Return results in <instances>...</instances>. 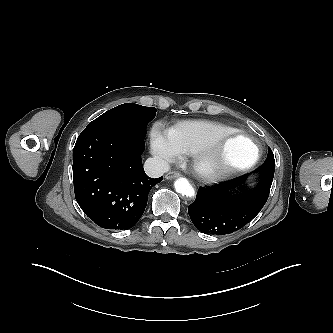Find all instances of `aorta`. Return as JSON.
I'll list each match as a JSON object with an SVG mask.
<instances>
[{"instance_id": "762f6f07", "label": "aorta", "mask_w": 333, "mask_h": 333, "mask_svg": "<svg viewBox=\"0 0 333 333\" xmlns=\"http://www.w3.org/2000/svg\"><path fill=\"white\" fill-rule=\"evenodd\" d=\"M174 187L175 190L187 197H193L195 195V190L193 188V186L190 184V182L183 177L178 178L175 182H174Z\"/></svg>"}]
</instances>
